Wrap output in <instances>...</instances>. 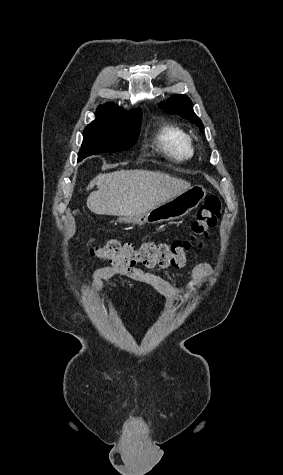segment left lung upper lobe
I'll return each mask as SVG.
<instances>
[{
  "mask_svg": "<svg viewBox=\"0 0 283 475\" xmlns=\"http://www.w3.org/2000/svg\"><path fill=\"white\" fill-rule=\"evenodd\" d=\"M165 112L171 114H178L181 117L190 120L195 123L200 130L204 131V126L199 117L193 111V103L186 95H173L165 103L159 104Z\"/></svg>",
  "mask_w": 283,
  "mask_h": 475,
  "instance_id": "obj_1",
  "label": "left lung upper lobe"
}]
</instances>
